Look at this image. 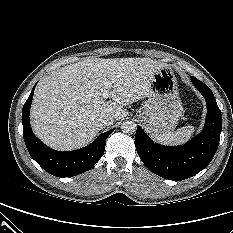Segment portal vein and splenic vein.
<instances>
[{"label": "portal vein and splenic vein", "instance_id": "portal-vein-and-splenic-vein-1", "mask_svg": "<svg viewBox=\"0 0 233 233\" xmlns=\"http://www.w3.org/2000/svg\"><path fill=\"white\" fill-rule=\"evenodd\" d=\"M111 86H112V82L111 81H109V80H105L104 81V91H103V94H102V97L104 99H106V98L109 97Z\"/></svg>", "mask_w": 233, "mask_h": 233}]
</instances>
